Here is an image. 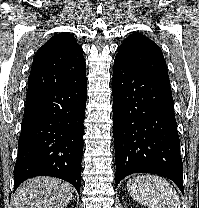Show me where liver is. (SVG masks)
I'll list each match as a JSON object with an SVG mask.
<instances>
[{
  "instance_id": "1",
  "label": "liver",
  "mask_w": 199,
  "mask_h": 208,
  "mask_svg": "<svg viewBox=\"0 0 199 208\" xmlns=\"http://www.w3.org/2000/svg\"><path fill=\"white\" fill-rule=\"evenodd\" d=\"M73 187L61 179L36 177L22 183L16 192L15 208H64Z\"/></svg>"
}]
</instances>
